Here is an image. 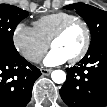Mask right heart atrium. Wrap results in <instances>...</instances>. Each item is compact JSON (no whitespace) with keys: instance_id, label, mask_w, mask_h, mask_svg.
I'll return each instance as SVG.
<instances>
[{"instance_id":"obj_1","label":"right heart atrium","mask_w":107,"mask_h":107,"mask_svg":"<svg viewBox=\"0 0 107 107\" xmlns=\"http://www.w3.org/2000/svg\"><path fill=\"white\" fill-rule=\"evenodd\" d=\"M12 41L19 54L32 63L38 62L49 47L48 43L39 37L33 27L24 23L15 26Z\"/></svg>"}]
</instances>
